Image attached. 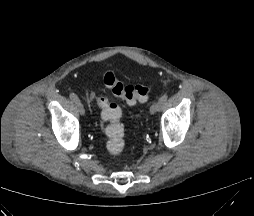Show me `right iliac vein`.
<instances>
[{
    "label": "right iliac vein",
    "mask_w": 254,
    "mask_h": 216,
    "mask_svg": "<svg viewBox=\"0 0 254 216\" xmlns=\"http://www.w3.org/2000/svg\"><path fill=\"white\" fill-rule=\"evenodd\" d=\"M75 106L77 108V111L79 112L80 115H85V107L83 105L82 102L78 101V102H75Z\"/></svg>",
    "instance_id": "1"
}]
</instances>
